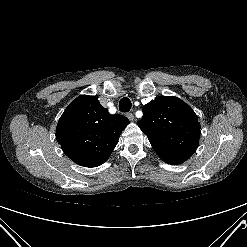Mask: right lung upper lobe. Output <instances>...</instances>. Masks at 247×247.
Here are the masks:
<instances>
[{"label":"right lung upper lobe","mask_w":247,"mask_h":247,"mask_svg":"<svg viewBox=\"0 0 247 247\" xmlns=\"http://www.w3.org/2000/svg\"><path fill=\"white\" fill-rule=\"evenodd\" d=\"M128 123L120 114L110 115L95 96L80 95L59 119L56 138L76 164L97 167L107 161Z\"/></svg>","instance_id":"obj_1"}]
</instances>
